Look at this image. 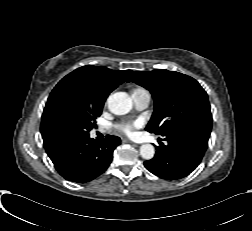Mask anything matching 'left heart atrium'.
<instances>
[{"label": "left heart atrium", "instance_id": "39dd6f15", "mask_svg": "<svg viewBox=\"0 0 252 231\" xmlns=\"http://www.w3.org/2000/svg\"><path fill=\"white\" fill-rule=\"evenodd\" d=\"M141 125L142 121L138 119L134 121L122 122L118 125V129L125 134H131L134 129L139 128Z\"/></svg>", "mask_w": 252, "mask_h": 231}]
</instances>
